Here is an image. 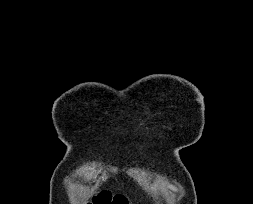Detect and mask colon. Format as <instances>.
<instances>
[{
    "instance_id": "colon-1",
    "label": "colon",
    "mask_w": 253,
    "mask_h": 204,
    "mask_svg": "<svg viewBox=\"0 0 253 204\" xmlns=\"http://www.w3.org/2000/svg\"><path fill=\"white\" fill-rule=\"evenodd\" d=\"M87 204H127L121 197L112 196L107 191L98 193L90 202Z\"/></svg>"
}]
</instances>
